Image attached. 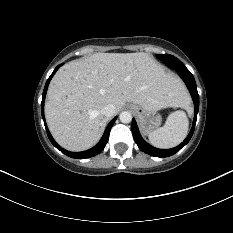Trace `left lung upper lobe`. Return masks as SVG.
Wrapping results in <instances>:
<instances>
[{
	"label": "left lung upper lobe",
	"mask_w": 233,
	"mask_h": 233,
	"mask_svg": "<svg viewBox=\"0 0 233 233\" xmlns=\"http://www.w3.org/2000/svg\"><path fill=\"white\" fill-rule=\"evenodd\" d=\"M157 57L170 68H174V66L176 65H180V66L183 65V63L179 59H177L176 57L170 54H160L157 55Z\"/></svg>",
	"instance_id": "1"
}]
</instances>
